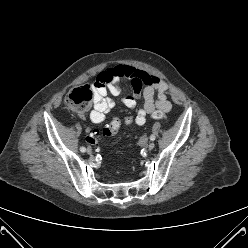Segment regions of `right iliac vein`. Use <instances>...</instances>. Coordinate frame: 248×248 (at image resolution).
<instances>
[{
	"instance_id": "obj_1",
	"label": "right iliac vein",
	"mask_w": 248,
	"mask_h": 248,
	"mask_svg": "<svg viewBox=\"0 0 248 248\" xmlns=\"http://www.w3.org/2000/svg\"><path fill=\"white\" fill-rule=\"evenodd\" d=\"M87 153H88L89 155H92V150H91V148H87Z\"/></svg>"
}]
</instances>
